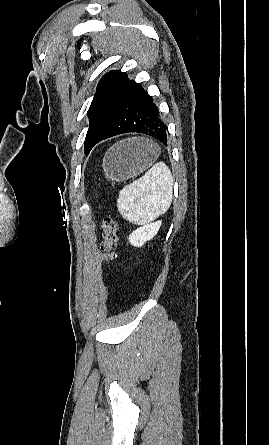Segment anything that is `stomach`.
Wrapping results in <instances>:
<instances>
[{
	"label": "stomach",
	"mask_w": 269,
	"mask_h": 445,
	"mask_svg": "<svg viewBox=\"0 0 269 445\" xmlns=\"http://www.w3.org/2000/svg\"><path fill=\"white\" fill-rule=\"evenodd\" d=\"M159 148L149 140L132 138L112 146L103 159L106 176L115 181H125L143 172L156 160Z\"/></svg>",
	"instance_id": "stomach-1"
}]
</instances>
